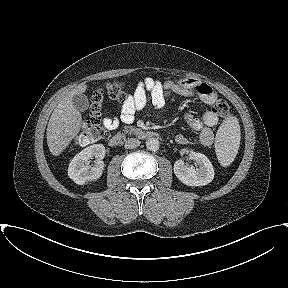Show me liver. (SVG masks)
Wrapping results in <instances>:
<instances>
[{
	"label": "liver",
	"instance_id": "liver-1",
	"mask_svg": "<svg viewBox=\"0 0 288 288\" xmlns=\"http://www.w3.org/2000/svg\"><path fill=\"white\" fill-rule=\"evenodd\" d=\"M87 85L79 84L66 94L54 109L47 126V144L50 152L58 156L80 131L82 116L73 105V96L86 91Z\"/></svg>",
	"mask_w": 288,
	"mask_h": 288
}]
</instances>
